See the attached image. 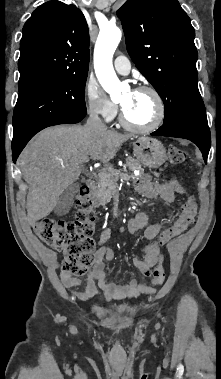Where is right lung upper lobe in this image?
<instances>
[{
	"label": "right lung upper lobe",
	"instance_id": "cb5924a9",
	"mask_svg": "<svg viewBox=\"0 0 221 379\" xmlns=\"http://www.w3.org/2000/svg\"><path fill=\"white\" fill-rule=\"evenodd\" d=\"M89 56V32L83 13L74 5L46 2L23 27L19 86L87 75Z\"/></svg>",
	"mask_w": 221,
	"mask_h": 379
}]
</instances>
